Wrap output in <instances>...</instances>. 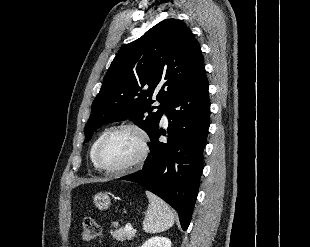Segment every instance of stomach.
I'll use <instances>...</instances> for the list:
<instances>
[{"label": "stomach", "mask_w": 310, "mask_h": 247, "mask_svg": "<svg viewBox=\"0 0 310 247\" xmlns=\"http://www.w3.org/2000/svg\"><path fill=\"white\" fill-rule=\"evenodd\" d=\"M94 204L100 210L107 209L110 206L111 200L107 193L99 192L94 196Z\"/></svg>", "instance_id": "obj_1"}]
</instances>
